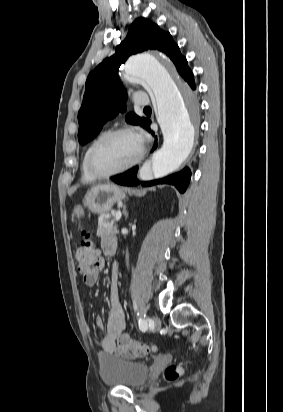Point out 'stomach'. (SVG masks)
<instances>
[{"label":"stomach","mask_w":283,"mask_h":412,"mask_svg":"<svg viewBox=\"0 0 283 412\" xmlns=\"http://www.w3.org/2000/svg\"><path fill=\"white\" fill-rule=\"evenodd\" d=\"M126 198V191L113 184L97 185L91 188L83 200L84 207L95 214L109 212L113 205ZM84 216V209L77 205L73 209L74 221Z\"/></svg>","instance_id":"stomach-1"}]
</instances>
